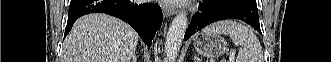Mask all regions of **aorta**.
<instances>
[{"mask_svg": "<svg viewBox=\"0 0 331 62\" xmlns=\"http://www.w3.org/2000/svg\"><path fill=\"white\" fill-rule=\"evenodd\" d=\"M187 25V16L181 13L174 18L169 27L165 41V54L169 62H174L178 56Z\"/></svg>", "mask_w": 331, "mask_h": 62, "instance_id": "aorta-1", "label": "aorta"}]
</instances>
